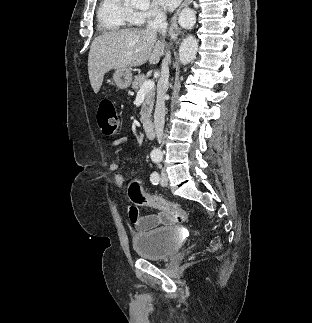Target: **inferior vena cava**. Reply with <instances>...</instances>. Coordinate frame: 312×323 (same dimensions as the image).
I'll return each mask as SVG.
<instances>
[{
    "label": "inferior vena cava",
    "mask_w": 312,
    "mask_h": 323,
    "mask_svg": "<svg viewBox=\"0 0 312 323\" xmlns=\"http://www.w3.org/2000/svg\"><path fill=\"white\" fill-rule=\"evenodd\" d=\"M153 20H149L148 26L151 30H156V32H160L162 36H165L167 30V22H166V14L164 12H160V10H154L153 12ZM160 44H162V48L164 50L166 44L164 40H160ZM171 56L170 52H166L164 60H162L161 64V76L157 86V102L154 114V128L157 140H162L163 138V130L165 124V94L168 90V80H169V64H170Z\"/></svg>",
    "instance_id": "obj_1"
}]
</instances>
